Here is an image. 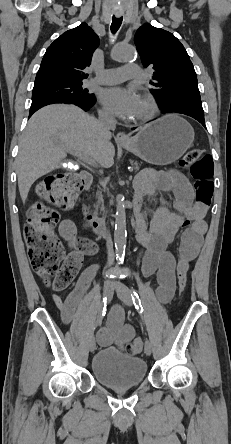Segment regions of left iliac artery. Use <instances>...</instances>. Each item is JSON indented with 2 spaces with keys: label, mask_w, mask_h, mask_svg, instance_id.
<instances>
[{
  "label": "left iliac artery",
  "mask_w": 231,
  "mask_h": 444,
  "mask_svg": "<svg viewBox=\"0 0 231 444\" xmlns=\"http://www.w3.org/2000/svg\"><path fill=\"white\" fill-rule=\"evenodd\" d=\"M131 296H132L133 304H134L135 308L137 309L138 313L141 315L142 322L144 324V318H143L144 309L141 304V300L139 298V295L137 294V292L133 288L131 289Z\"/></svg>",
  "instance_id": "44dca946"
}]
</instances>
